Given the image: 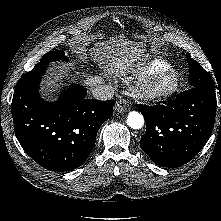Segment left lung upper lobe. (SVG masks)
<instances>
[{"instance_id":"obj_1","label":"left lung upper lobe","mask_w":221,"mask_h":221,"mask_svg":"<svg viewBox=\"0 0 221 221\" xmlns=\"http://www.w3.org/2000/svg\"><path fill=\"white\" fill-rule=\"evenodd\" d=\"M187 60L190 71L188 82L191 87H201L202 89L215 94V86L212 76L189 55H187Z\"/></svg>"}]
</instances>
